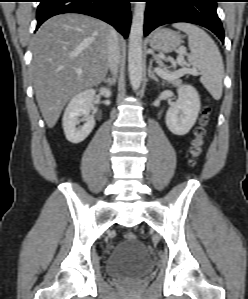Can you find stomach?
Masks as SVG:
<instances>
[{
  "label": "stomach",
  "instance_id": "obj_1",
  "mask_svg": "<svg viewBox=\"0 0 248 299\" xmlns=\"http://www.w3.org/2000/svg\"><path fill=\"white\" fill-rule=\"evenodd\" d=\"M150 47L161 53H170L182 44V37L179 32L162 28L156 30L150 37Z\"/></svg>",
  "mask_w": 248,
  "mask_h": 299
}]
</instances>
